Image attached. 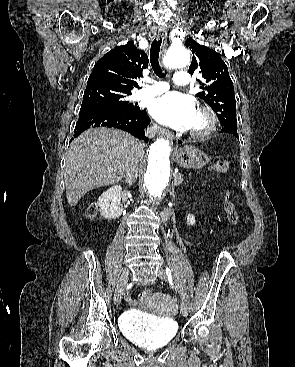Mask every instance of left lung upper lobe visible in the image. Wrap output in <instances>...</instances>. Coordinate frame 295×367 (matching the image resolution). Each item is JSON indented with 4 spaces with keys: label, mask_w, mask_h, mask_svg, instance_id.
Wrapping results in <instances>:
<instances>
[{
    "label": "left lung upper lobe",
    "mask_w": 295,
    "mask_h": 367,
    "mask_svg": "<svg viewBox=\"0 0 295 367\" xmlns=\"http://www.w3.org/2000/svg\"><path fill=\"white\" fill-rule=\"evenodd\" d=\"M185 45L193 53L189 73L202 74V80L198 79V82L203 91L197 97L212 108L222 128L237 129L236 100L227 65L215 50L198 44L191 37L185 41Z\"/></svg>",
    "instance_id": "left-lung-upper-lobe-1"
}]
</instances>
